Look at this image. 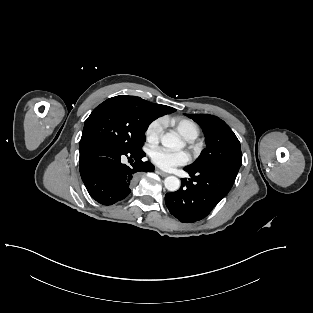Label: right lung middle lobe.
<instances>
[{
  "instance_id": "1",
  "label": "right lung middle lobe",
  "mask_w": 313,
  "mask_h": 313,
  "mask_svg": "<svg viewBox=\"0 0 313 313\" xmlns=\"http://www.w3.org/2000/svg\"><path fill=\"white\" fill-rule=\"evenodd\" d=\"M157 116L149 107L126 95L112 97L97 106L85 121L79 147L102 142L127 151L141 149L145 131Z\"/></svg>"
}]
</instances>
